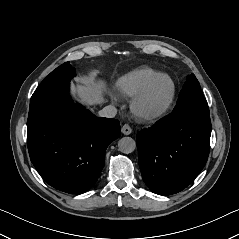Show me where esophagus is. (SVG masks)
I'll use <instances>...</instances> for the list:
<instances>
[{"label": "esophagus", "instance_id": "obj_1", "mask_svg": "<svg viewBox=\"0 0 239 239\" xmlns=\"http://www.w3.org/2000/svg\"><path fill=\"white\" fill-rule=\"evenodd\" d=\"M121 132L124 134V135H129L132 133V128L128 125V124H125L122 126L121 128Z\"/></svg>", "mask_w": 239, "mask_h": 239}]
</instances>
